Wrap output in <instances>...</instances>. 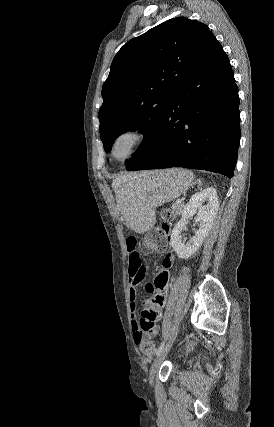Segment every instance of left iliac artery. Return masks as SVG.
<instances>
[{"label":"left iliac artery","instance_id":"left-iliac-artery-1","mask_svg":"<svg viewBox=\"0 0 274 427\" xmlns=\"http://www.w3.org/2000/svg\"><path fill=\"white\" fill-rule=\"evenodd\" d=\"M164 345H165V342L163 341L156 350V356H159V354L161 353V351L164 348Z\"/></svg>","mask_w":274,"mask_h":427}]
</instances>
